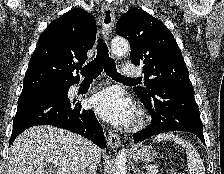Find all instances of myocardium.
I'll list each match as a JSON object with an SVG mask.
<instances>
[{
  "label": "myocardium",
  "instance_id": "myocardium-1",
  "mask_svg": "<svg viewBox=\"0 0 224 174\" xmlns=\"http://www.w3.org/2000/svg\"><path fill=\"white\" fill-rule=\"evenodd\" d=\"M144 123H145L144 117L137 116L131 127H132V129H138V128L142 127L144 125Z\"/></svg>",
  "mask_w": 224,
  "mask_h": 174
}]
</instances>
